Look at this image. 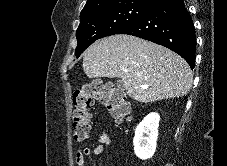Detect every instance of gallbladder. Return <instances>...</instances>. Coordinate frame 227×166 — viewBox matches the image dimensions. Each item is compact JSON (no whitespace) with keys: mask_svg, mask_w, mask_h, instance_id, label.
<instances>
[{"mask_svg":"<svg viewBox=\"0 0 227 166\" xmlns=\"http://www.w3.org/2000/svg\"><path fill=\"white\" fill-rule=\"evenodd\" d=\"M117 85H118V87H120V88H123V83H122V81H117Z\"/></svg>","mask_w":227,"mask_h":166,"instance_id":"gallbladder-1","label":"gallbladder"}]
</instances>
